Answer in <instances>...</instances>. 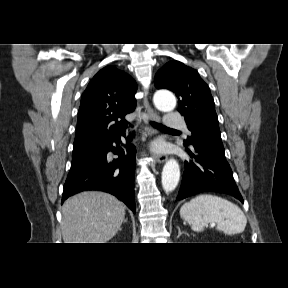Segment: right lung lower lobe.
<instances>
[{"mask_svg": "<svg viewBox=\"0 0 288 288\" xmlns=\"http://www.w3.org/2000/svg\"><path fill=\"white\" fill-rule=\"evenodd\" d=\"M121 136L116 135L104 145L72 159L64 184L62 203L70 196L84 190H102L115 195L135 213L134 171L136 149L132 136L126 138L125 150L119 146ZM116 142V147L112 144ZM118 155L111 160L108 153Z\"/></svg>", "mask_w": 288, "mask_h": 288, "instance_id": "obj_1", "label": "right lung lower lobe"}]
</instances>
